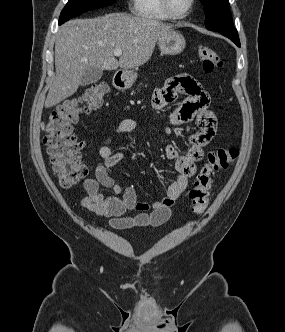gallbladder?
Instances as JSON below:
<instances>
[{
	"instance_id": "1",
	"label": "gallbladder",
	"mask_w": 285,
	"mask_h": 332,
	"mask_svg": "<svg viewBox=\"0 0 285 332\" xmlns=\"http://www.w3.org/2000/svg\"><path fill=\"white\" fill-rule=\"evenodd\" d=\"M103 70L101 68L89 67L81 78L80 85L87 86L101 79Z\"/></svg>"
}]
</instances>
